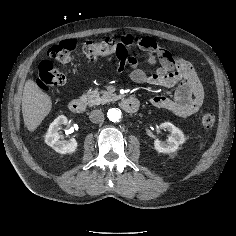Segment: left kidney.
Here are the masks:
<instances>
[{
    "instance_id": "obj_1",
    "label": "left kidney",
    "mask_w": 236,
    "mask_h": 236,
    "mask_svg": "<svg viewBox=\"0 0 236 236\" xmlns=\"http://www.w3.org/2000/svg\"><path fill=\"white\" fill-rule=\"evenodd\" d=\"M160 128L166 129L171 133V136L169 137L168 141L161 142L160 140L156 139L154 141V149L159 153H171L175 152L179 145L183 144L185 142V136L183 132L174 126L170 122H164L160 124Z\"/></svg>"
}]
</instances>
